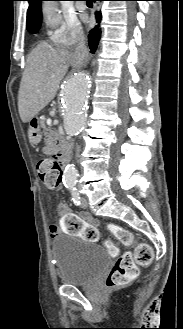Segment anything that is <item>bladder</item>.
Wrapping results in <instances>:
<instances>
[{"mask_svg": "<svg viewBox=\"0 0 183 329\" xmlns=\"http://www.w3.org/2000/svg\"><path fill=\"white\" fill-rule=\"evenodd\" d=\"M60 282L88 286L110 266V256L91 240H80L75 234H58L51 245Z\"/></svg>", "mask_w": 183, "mask_h": 329, "instance_id": "31cf9c89", "label": "bladder"}]
</instances>
